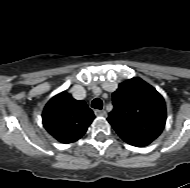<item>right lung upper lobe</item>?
Instances as JSON below:
<instances>
[{
	"label": "right lung upper lobe",
	"mask_w": 190,
	"mask_h": 188,
	"mask_svg": "<svg viewBox=\"0 0 190 188\" xmlns=\"http://www.w3.org/2000/svg\"><path fill=\"white\" fill-rule=\"evenodd\" d=\"M93 111L84 101H79L63 91L46 104L42 121L47 132L61 143L80 139L94 120Z\"/></svg>",
	"instance_id": "1"
}]
</instances>
